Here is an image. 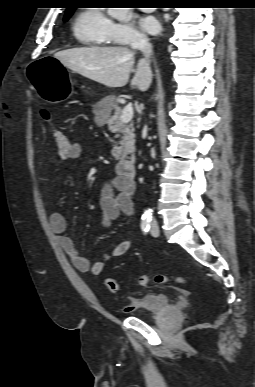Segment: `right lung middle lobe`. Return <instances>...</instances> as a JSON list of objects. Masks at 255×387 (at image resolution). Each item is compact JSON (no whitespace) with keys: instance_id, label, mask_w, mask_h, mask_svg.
<instances>
[{"instance_id":"obj_1","label":"right lung middle lobe","mask_w":255,"mask_h":387,"mask_svg":"<svg viewBox=\"0 0 255 387\" xmlns=\"http://www.w3.org/2000/svg\"><path fill=\"white\" fill-rule=\"evenodd\" d=\"M73 11H74V8L68 9L66 11L65 16H64V21H67L70 18V16L72 15Z\"/></svg>"}]
</instances>
